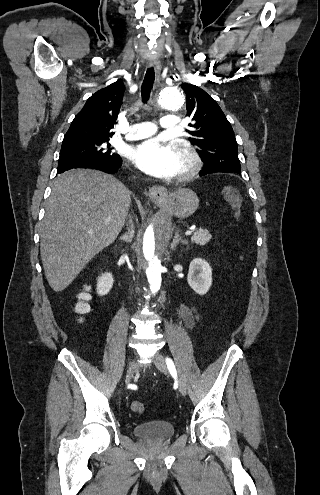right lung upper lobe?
I'll use <instances>...</instances> for the list:
<instances>
[{
    "instance_id": "1",
    "label": "right lung upper lobe",
    "mask_w": 320,
    "mask_h": 495,
    "mask_svg": "<svg viewBox=\"0 0 320 495\" xmlns=\"http://www.w3.org/2000/svg\"><path fill=\"white\" fill-rule=\"evenodd\" d=\"M125 86L121 81L94 93L75 116L64 140L110 138L116 123Z\"/></svg>"
}]
</instances>
